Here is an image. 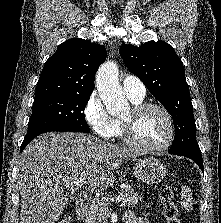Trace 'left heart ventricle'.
<instances>
[{"label":"left heart ventricle","instance_id":"b2bd125f","mask_svg":"<svg viewBox=\"0 0 221 223\" xmlns=\"http://www.w3.org/2000/svg\"><path fill=\"white\" fill-rule=\"evenodd\" d=\"M132 109L122 118L129 119ZM133 136L140 143L150 146L162 144L168 136V122L164 114L156 109L147 110L134 118Z\"/></svg>","mask_w":221,"mask_h":223}]
</instances>
